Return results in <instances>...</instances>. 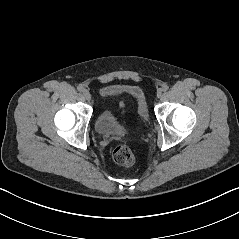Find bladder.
I'll return each instance as SVG.
<instances>
[{
    "instance_id": "31cf9c89",
    "label": "bladder",
    "mask_w": 239,
    "mask_h": 239,
    "mask_svg": "<svg viewBox=\"0 0 239 239\" xmlns=\"http://www.w3.org/2000/svg\"><path fill=\"white\" fill-rule=\"evenodd\" d=\"M119 91H123L131 98L141 126L146 127L150 122V113L144 91L138 86H126L122 88L108 86L102 90V97L107 99ZM94 129L100 135H115L122 132L112 108L108 105H105L96 115Z\"/></svg>"
}]
</instances>
